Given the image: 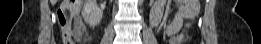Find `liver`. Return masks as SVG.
<instances>
[{
    "label": "liver",
    "instance_id": "1",
    "mask_svg": "<svg viewBox=\"0 0 261 44\" xmlns=\"http://www.w3.org/2000/svg\"><path fill=\"white\" fill-rule=\"evenodd\" d=\"M74 29H75V32H78V31H79L80 27H79L78 21H75V27H74Z\"/></svg>",
    "mask_w": 261,
    "mask_h": 44
}]
</instances>
